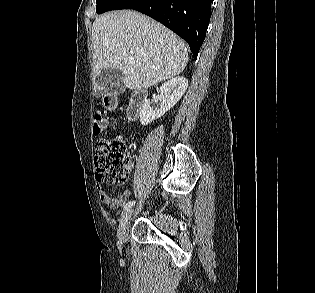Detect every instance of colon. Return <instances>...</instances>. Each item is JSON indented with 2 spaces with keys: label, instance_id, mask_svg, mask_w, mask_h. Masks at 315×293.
<instances>
[{
  "label": "colon",
  "instance_id": "1",
  "mask_svg": "<svg viewBox=\"0 0 315 293\" xmlns=\"http://www.w3.org/2000/svg\"><path fill=\"white\" fill-rule=\"evenodd\" d=\"M106 125L107 120L102 113L93 115L94 135H99ZM94 162L99 182L110 185L124 184L130 170V157L125 140L120 136L98 139Z\"/></svg>",
  "mask_w": 315,
  "mask_h": 293
}]
</instances>
